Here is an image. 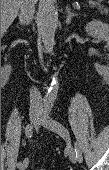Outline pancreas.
<instances>
[{
  "label": "pancreas",
  "instance_id": "obj_1",
  "mask_svg": "<svg viewBox=\"0 0 109 170\" xmlns=\"http://www.w3.org/2000/svg\"><path fill=\"white\" fill-rule=\"evenodd\" d=\"M99 11L102 13V14H105L107 15L109 13V9L107 7H104V6H100L99 7Z\"/></svg>",
  "mask_w": 109,
  "mask_h": 170
}]
</instances>
